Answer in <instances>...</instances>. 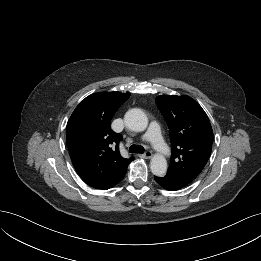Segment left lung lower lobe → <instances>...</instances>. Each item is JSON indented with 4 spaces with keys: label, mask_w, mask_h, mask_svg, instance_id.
<instances>
[{
    "label": "left lung lower lobe",
    "mask_w": 261,
    "mask_h": 261,
    "mask_svg": "<svg viewBox=\"0 0 261 261\" xmlns=\"http://www.w3.org/2000/svg\"><path fill=\"white\" fill-rule=\"evenodd\" d=\"M154 179L163 188L170 191L179 190L187 185L185 182L181 181L180 179L168 174L162 177L154 176Z\"/></svg>",
    "instance_id": "left-lung-lower-lobe-1"
}]
</instances>
